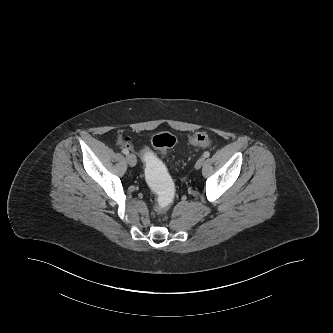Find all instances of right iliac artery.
I'll return each mask as SVG.
<instances>
[{
  "mask_svg": "<svg viewBox=\"0 0 333 333\" xmlns=\"http://www.w3.org/2000/svg\"><path fill=\"white\" fill-rule=\"evenodd\" d=\"M122 152H123V154H125V155L129 154V151H128V149H126V148H124V149L122 150Z\"/></svg>",
  "mask_w": 333,
  "mask_h": 333,
  "instance_id": "82829eb1",
  "label": "right iliac artery"
}]
</instances>
